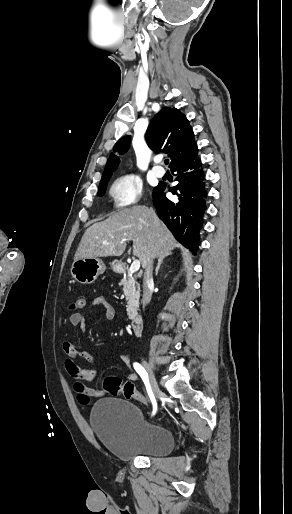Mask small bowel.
I'll use <instances>...</instances> for the list:
<instances>
[{"label":"small bowel","mask_w":292,"mask_h":514,"mask_svg":"<svg viewBox=\"0 0 292 514\" xmlns=\"http://www.w3.org/2000/svg\"><path fill=\"white\" fill-rule=\"evenodd\" d=\"M92 305L100 307L103 310L104 317L108 320H112L116 316V311L113 305H111L107 299L99 295L94 298ZM70 323L74 327L83 328L85 325V317L81 313H73L70 316ZM62 350L65 356L64 366L65 370L73 382L74 390L78 393V398L81 404H88L91 398H100L106 394V391L96 387L87 386L84 380H93L96 378V373L93 370H81L76 364L78 356H82L86 361L90 363H100L102 358L88 350H80L77 346L69 340H66L62 344ZM121 361L128 365L129 360L127 355L121 357ZM137 375L134 371L129 370L128 372V383L133 384Z\"/></svg>","instance_id":"obj_1"}]
</instances>
